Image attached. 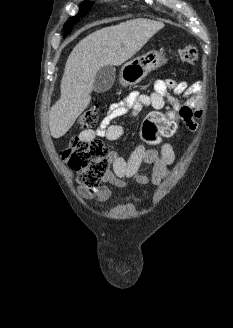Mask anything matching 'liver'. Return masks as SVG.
<instances>
[{
	"mask_svg": "<svg viewBox=\"0 0 233 328\" xmlns=\"http://www.w3.org/2000/svg\"><path fill=\"white\" fill-rule=\"evenodd\" d=\"M163 27L161 22L132 19L83 38L66 61L60 85L61 96L49 113L52 137L65 135L87 108L94 78L101 67L123 64Z\"/></svg>",
	"mask_w": 233,
	"mask_h": 328,
	"instance_id": "1",
	"label": "liver"
}]
</instances>
